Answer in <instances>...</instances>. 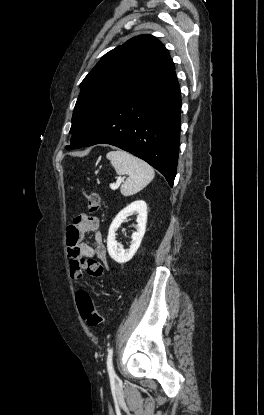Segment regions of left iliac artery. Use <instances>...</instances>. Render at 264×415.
I'll return each mask as SVG.
<instances>
[{
    "label": "left iliac artery",
    "instance_id": "44dca946",
    "mask_svg": "<svg viewBox=\"0 0 264 415\" xmlns=\"http://www.w3.org/2000/svg\"><path fill=\"white\" fill-rule=\"evenodd\" d=\"M112 355H113V349L111 348L108 352V356H107V369H108V373L109 376L111 378L115 377V371L113 368V364H112Z\"/></svg>",
    "mask_w": 264,
    "mask_h": 415
}]
</instances>
